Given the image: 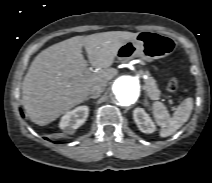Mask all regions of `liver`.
Here are the masks:
<instances>
[{
	"label": "liver",
	"instance_id": "obj_1",
	"mask_svg": "<svg viewBox=\"0 0 212 183\" xmlns=\"http://www.w3.org/2000/svg\"><path fill=\"white\" fill-rule=\"evenodd\" d=\"M138 33L110 31L75 36L41 51L33 60L22 85V104L32 122L49 124L82 103L93 85H107L117 70L111 68L122 45ZM98 70L86 73L88 61ZM85 73V75H84Z\"/></svg>",
	"mask_w": 212,
	"mask_h": 183
}]
</instances>
